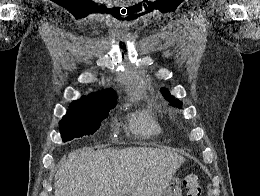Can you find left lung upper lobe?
<instances>
[{
  "label": "left lung upper lobe",
  "mask_w": 260,
  "mask_h": 196,
  "mask_svg": "<svg viewBox=\"0 0 260 196\" xmlns=\"http://www.w3.org/2000/svg\"><path fill=\"white\" fill-rule=\"evenodd\" d=\"M161 91L163 92V96L170 102L171 105L182 108V103L179 100L174 99V97L171 96L167 90L162 89Z\"/></svg>",
  "instance_id": "left-lung-upper-lobe-1"
}]
</instances>
